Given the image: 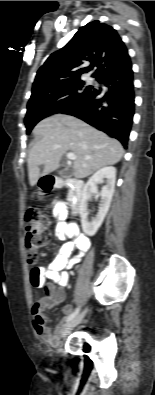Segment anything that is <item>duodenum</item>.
Returning <instances> with one entry per match:
<instances>
[{
  "label": "duodenum",
  "instance_id": "410a0bca",
  "mask_svg": "<svg viewBox=\"0 0 155 395\" xmlns=\"http://www.w3.org/2000/svg\"><path fill=\"white\" fill-rule=\"evenodd\" d=\"M45 186L47 189H52L53 187H61L67 185L69 187L68 202L74 213L79 211L83 199V182L77 179L63 180L61 178H56L54 176H46Z\"/></svg>",
  "mask_w": 155,
  "mask_h": 395
}]
</instances>
